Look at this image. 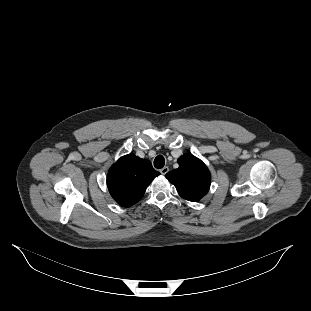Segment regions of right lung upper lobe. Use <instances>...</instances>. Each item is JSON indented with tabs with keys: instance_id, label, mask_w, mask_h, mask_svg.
Masks as SVG:
<instances>
[{
	"instance_id": "right-lung-upper-lobe-1",
	"label": "right lung upper lobe",
	"mask_w": 311,
	"mask_h": 311,
	"mask_svg": "<svg viewBox=\"0 0 311 311\" xmlns=\"http://www.w3.org/2000/svg\"><path fill=\"white\" fill-rule=\"evenodd\" d=\"M160 175L149 160L134 154L121 157L109 170L107 186L113 199L123 207L137 203L152 180Z\"/></svg>"
}]
</instances>
